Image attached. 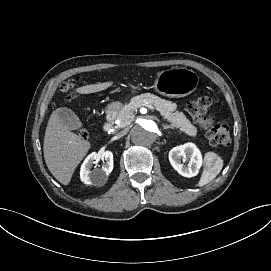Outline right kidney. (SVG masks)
<instances>
[{"label":"right kidney","mask_w":271,"mask_h":271,"mask_svg":"<svg viewBox=\"0 0 271 271\" xmlns=\"http://www.w3.org/2000/svg\"><path fill=\"white\" fill-rule=\"evenodd\" d=\"M101 157L106 161V164L102 169L91 170L92 165L100 158V155L95 152L90 154L82 164L80 176L81 180L85 184L100 187L107 182L109 174L112 172L114 167L113 152L106 150L102 152Z\"/></svg>","instance_id":"ca27d5eb"}]
</instances>
